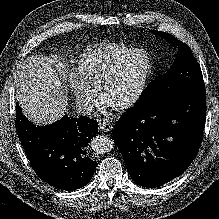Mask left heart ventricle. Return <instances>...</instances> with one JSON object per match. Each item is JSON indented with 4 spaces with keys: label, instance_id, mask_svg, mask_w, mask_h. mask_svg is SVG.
Masks as SVG:
<instances>
[{
    "label": "left heart ventricle",
    "instance_id": "1",
    "mask_svg": "<svg viewBox=\"0 0 219 219\" xmlns=\"http://www.w3.org/2000/svg\"><path fill=\"white\" fill-rule=\"evenodd\" d=\"M149 66L144 54L127 60L104 92L103 99L109 105L119 104L130 98L140 85Z\"/></svg>",
    "mask_w": 219,
    "mask_h": 219
}]
</instances>
